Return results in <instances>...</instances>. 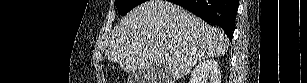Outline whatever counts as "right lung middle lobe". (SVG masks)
I'll list each match as a JSON object with an SVG mask.
<instances>
[{
    "label": "right lung middle lobe",
    "mask_w": 307,
    "mask_h": 83,
    "mask_svg": "<svg viewBox=\"0 0 307 83\" xmlns=\"http://www.w3.org/2000/svg\"><path fill=\"white\" fill-rule=\"evenodd\" d=\"M145 2V0H116L115 5L121 15H125L127 12Z\"/></svg>",
    "instance_id": "dd1d6c3e"
}]
</instances>
